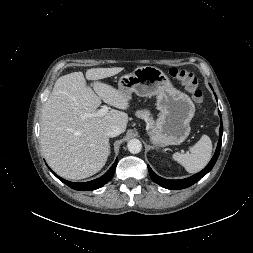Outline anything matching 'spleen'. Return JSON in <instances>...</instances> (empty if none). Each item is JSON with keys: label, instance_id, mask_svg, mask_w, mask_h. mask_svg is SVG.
<instances>
[{"label": "spleen", "instance_id": "1", "mask_svg": "<svg viewBox=\"0 0 253 253\" xmlns=\"http://www.w3.org/2000/svg\"><path fill=\"white\" fill-rule=\"evenodd\" d=\"M212 142L207 135H202L200 140L190 148V153H174L173 159L182 165L189 173L202 170L210 161Z\"/></svg>", "mask_w": 253, "mask_h": 253}]
</instances>
